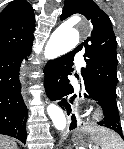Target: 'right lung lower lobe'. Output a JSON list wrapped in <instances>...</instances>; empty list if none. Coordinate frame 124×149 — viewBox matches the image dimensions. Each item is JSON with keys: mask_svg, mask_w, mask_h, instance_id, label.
I'll use <instances>...</instances> for the list:
<instances>
[{"mask_svg": "<svg viewBox=\"0 0 124 149\" xmlns=\"http://www.w3.org/2000/svg\"><path fill=\"white\" fill-rule=\"evenodd\" d=\"M32 45L21 50L0 52V134L26 142L27 107L20 95L18 78L22 61Z\"/></svg>", "mask_w": 124, "mask_h": 149, "instance_id": "1", "label": "right lung lower lobe"}]
</instances>
